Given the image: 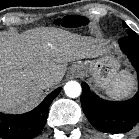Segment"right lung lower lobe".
<instances>
[{"label": "right lung lower lobe", "mask_w": 139, "mask_h": 139, "mask_svg": "<svg viewBox=\"0 0 139 139\" xmlns=\"http://www.w3.org/2000/svg\"><path fill=\"white\" fill-rule=\"evenodd\" d=\"M61 88L49 94L34 110L20 115L0 113V137L2 139H32L43 129L49 106Z\"/></svg>", "instance_id": "obj_1"}]
</instances>
